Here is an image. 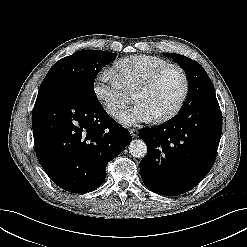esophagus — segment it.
I'll return each instance as SVG.
<instances>
[{
    "instance_id": "1",
    "label": "esophagus",
    "mask_w": 247,
    "mask_h": 247,
    "mask_svg": "<svg viewBox=\"0 0 247 247\" xmlns=\"http://www.w3.org/2000/svg\"><path fill=\"white\" fill-rule=\"evenodd\" d=\"M130 133H131L132 137L135 138L138 135V130L134 129V128H131L130 129Z\"/></svg>"
}]
</instances>
